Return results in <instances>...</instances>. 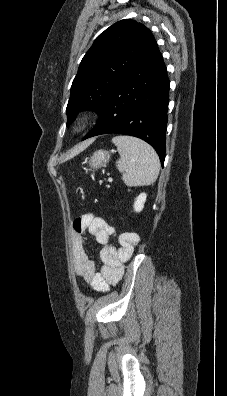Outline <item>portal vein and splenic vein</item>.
<instances>
[{
	"mask_svg": "<svg viewBox=\"0 0 227 396\" xmlns=\"http://www.w3.org/2000/svg\"><path fill=\"white\" fill-rule=\"evenodd\" d=\"M108 181H109V182H112V178H109Z\"/></svg>",
	"mask_w": 227,
	"mask_h": 396,
	"instance_id": "obj_1",
	"label": "portal vein and splenic vein"
}]
</instances>
